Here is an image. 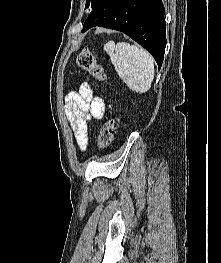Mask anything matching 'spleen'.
I'll return each mask as SVG.
<instances>
[{
  "label": "spleen",
  "instance_id": "obj_1",
  "mask_svg": "<svg viewBox=\"0 0 221 263\" xmlns=\"http://www.w3.org/2000/svg\"><path fill=\"white\" fill-rule=\"evenodd\" d=\"M104 50L109 54L122 81L133 91L147 92L154 79V59L146 50L125 42L108 41Z\"/></svg>",
  "mask_w": 221,
  "mask_h": 263
}]
</instances>
